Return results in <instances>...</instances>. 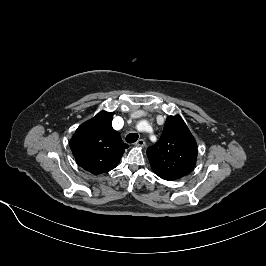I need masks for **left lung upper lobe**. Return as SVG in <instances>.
<instances>
[{
  "label": "left lung upper lobe",
  "instance_id": "obj_1",
  "mask_svg": "<svg viewBox=\"0 0 266 266\" xmlns=\"http://www.w3.org/2000/svg\"><path fill=\"white\" fill-rule=\"evenodd\" d=\"M147 156L153 171L164 180L182 178L193 170L197 144L179 115L167 118L159 141L148 148Z\"/></svg>",
  "mask_w": 266,
  "mask_h": 266
}]
</instances>
